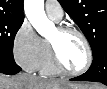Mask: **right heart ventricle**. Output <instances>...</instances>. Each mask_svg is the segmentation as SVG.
Returning <instances> with one entry per match:
<instances>
[{"instance_id":"right-heart-ventricle-1","label":"right heart ventricle","mask_w":107,"mask_h":89,"mask_svg":"<svg viewBox=\"0 0 107 89\" xmlns=\"http://www.w3.org/2000/svg\"><path fill=\"white\" fill-rule=\"evenodd\" d=\"M44 44H45V52L38 70L44 76L57 75L60 72L54 65L49 42L47 40H44Z\"/></svg>"}]
</instances>
